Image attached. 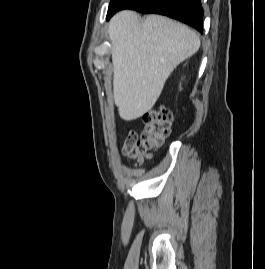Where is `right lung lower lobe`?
Here are the masks:
<instances>
[{"label":"right lung lower lobe","instance_id":"98d812e1","mask_svg":"<svg viewBox=\"0 0 265 269\" xmlns=\"http://www.w3.org/2000/svg\"><path fill=\"white\" fill-rule=\"evenodd\" d=\"M123 9L165 15L203 31L204 13L200 0H115L108 9L107 20Z\"/></svg>","mask_w":265,"mask_h":269}]
</instances>
